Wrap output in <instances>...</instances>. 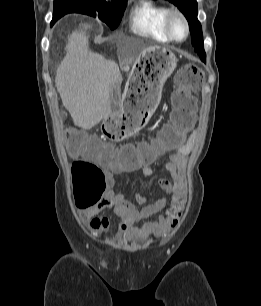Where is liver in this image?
Returning a JSON list of instances; mask_svg holds the SVG:
<instances>
[{
    "mask_svg": "<svg viewBox=\"0 0 261 306\" xmlns=\"http://www.w3.org/2000/svg\"><path fill=\"white\" fill-rule=\"evenodd\" d=\"M88 28L82 24L68 36L66 55L55 78L63 105L74 124L83 129H91L110 115V89L123 80L117 63L89 49Z\"/></svg>",
    "mask_w": 261,
    "mask_h": 306,
    "instance_id": "liver-1",
    "label": "liver"
}]
</instances>
